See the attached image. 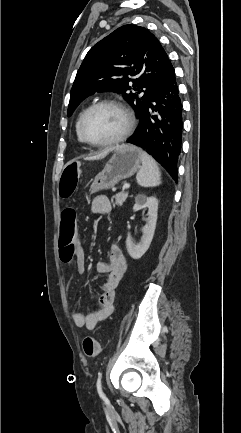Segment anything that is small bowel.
Listing matches in <instances>:
<instances>
[{"label":"small bowel","instance_id":"1","mask_svg":"<svg viewBox=\"0 0 241 433\" xmlns=\"http://www.w3.org/2000/svg\"><path fill=\"white\" fill-rule=\"evenodd\" d=\"M59 181H61L60 178ZM91 208L95 214L104 215L111 213L112 204L106 196L100 195L96 196L92 200ZM75 255L77 270L79 273H84L85 252L83 248L79 252L75 251ZM126 269L127 263L121 249L116 244H113L110 247L109 260L107 262L99 261L96 264V271L99 274L107 275V279L101 288L95 309L88 314L78 311L73 313L72 318L74 324L78 328L92 330L112 314L114 309L116 289L121 282Z\"/></svg>","mask_w":241,"mask_h":433}]
</instances>
